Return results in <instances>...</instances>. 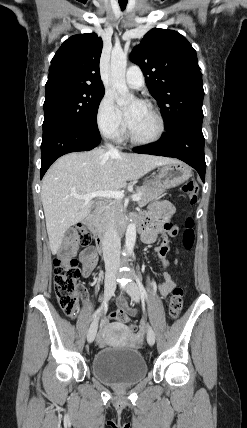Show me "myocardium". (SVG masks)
Instances as JSON below:
<instances>
[{
	"label": "myocardium",
	"instance_id": "myocardium-1",
	"mask_svg": "<svg viewBox=\"0 0 247 428\" xmlns=\"http://www.w3.org/2000/svg\"><path fill=\"white\" fill-rule=\"evenodd\" d=\"M144 106H146L154 114V116L157 120V123H158V129H157L155 135H153L152 137L142 139V138H137L136 136H134L133 133L131 132V130L129 129V127H127L128 138L130 139V141L132 143L137 144V145L154 144V143H156L162 139V137L164 136L165 131H166V123H165V119H164L161 111L150 102H145Z\"/></svg>",
	"mask_w": 247,
	"mask_h": 428
}]
</instances>
